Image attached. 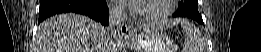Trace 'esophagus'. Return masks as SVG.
<instances>
[{
    "label": "esophagus",
    "instance_id": "esophagus-1",
    "mask_svg": "<svg viewBox=\"0 0 261 52\" xmlns=\"http://www.w3.org/2000/svg\"><path fill=\"white\" fill-rule=\"evenodd\" d=\"M119 34L122 38H129L133 35V28L127 23H123L119 26Z\"/></svg>",
    "mask_w": 261,
    "mask_h": 52
}]
</instances>
